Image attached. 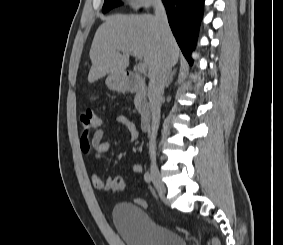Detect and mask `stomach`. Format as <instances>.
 I'll list each match as a JSON object with an SVG mask.
<instances>
[{"mask_svg": "<svg viewBox=\"0 0 283 245\" xmlns=\"http://www.w3.org/2000/svg\"><path fill=\"white\" fill-rule=\"evenodd\" d=\"M106 84L113 89H120L123 88L125 85L124 79L122 76H115V75H109Z\"/></svg>", "mask_w": 283, "mask_h": 245, "instance_id": "0dacf381", "label": "stomach"}]
</instances>
